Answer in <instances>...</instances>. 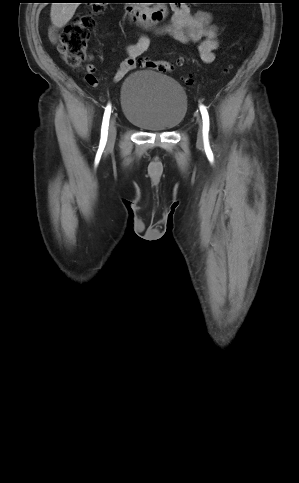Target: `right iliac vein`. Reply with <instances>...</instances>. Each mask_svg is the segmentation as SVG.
<instances>
[{"label": "right iliac vein", "mask_w": 299, "mask_h": 483, "mask_svg": "<svg viewBox=\"0 0 299 483\" xmlns=\"http://www.w3.org/2000/svg\"><path fill=\"white\" fill-rule=\"evenodd\" d=\"M116 138V125H115V119L112 118L108 130V144H112L115 141Z\"/></svg>", "instance_id": "1"}]
</instances>
